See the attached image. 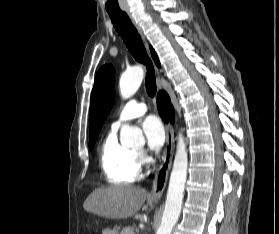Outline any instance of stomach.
Instances as JSON below:
<instances>
[{
    "label": "stomach",
    "mask_w": 279,
    "mask_h": 234,
    "mask_svg": "<svg viewBox=\"0 0 279 234\" xmlns=\"http://www.w3.org/2000/svg\"><path fill=\"white\" fill-rule=\"evenodd\" d=\"M102 234H118V231L111 230V229H104Z\"/></svg>",
    "instance_id": "obj_1"
}]
</instances>
